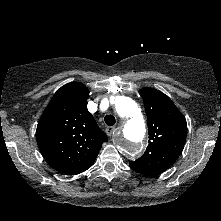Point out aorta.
I'll return each instance as SVG.
<instances>
[{"label": "aorta", "instance_id": "obj_1", "mask_svg": "<svg viewBox=\"0 0 221 221\" xmlns=\"http://www.w3.org/2000/svg\"><path fill=\"white\" fill-rule=\"evenodd\" d=\"M115 110L123 120L116 144L128 157H137L142 151L146 132L144 117L135 101L125 96L116 98Z\"/></svg>", "mask_w": 221, "mask_h": 221}]
</instances>
